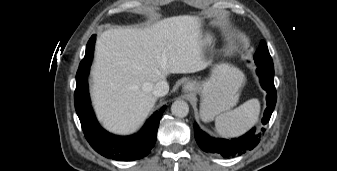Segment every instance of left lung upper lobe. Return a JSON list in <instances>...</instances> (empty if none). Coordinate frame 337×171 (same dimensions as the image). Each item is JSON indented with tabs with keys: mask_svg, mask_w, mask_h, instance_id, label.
<instances>
[{
	"mask_svg": "<svg viewBox=\"0 0 337 171\" xmlns=\"http://www.w3.org/2000/svg\"><path fill=\"white\" fill-rule=\"evenodd\" d=\"M254 61L257 66L274 69L272 58L264 41H261L259 48L256 50L254 54Z\"/></svg>",
	"mask_w": 337,
	"mask_h": 171,
	"instance_id": "5c2ea615",
	"label": "left lung upper lobe"
}]
</instances>
